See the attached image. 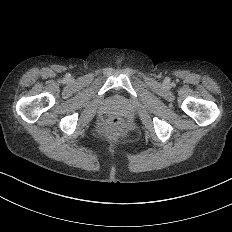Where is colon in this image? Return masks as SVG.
<instances>
[{"label": "colon", "mask_w": 232, "mask_h": 232, "mask_svg": "<svg viewBox=\"0 0 232 232\" xmlns=\"http://www.w3.org/2000/svg\"><path fill=\"white\" fill-rule=\"evenodd\" d=\"M109 130L113 134H120L124 130V123L120 119H113L109 123Z\"/></svg>", "instance_id": "1"}]
</instances>
